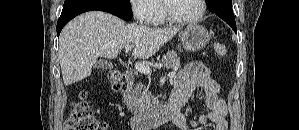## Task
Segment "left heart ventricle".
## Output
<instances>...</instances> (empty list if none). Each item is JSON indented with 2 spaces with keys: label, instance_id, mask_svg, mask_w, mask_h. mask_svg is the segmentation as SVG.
<instances>
[{
  "label": "left heart ventricle",
  "instance_id": "1",
  "mask_svg": "<svg viewBox=\"0 0 299 130\" xmlns=\"http://www.w3.org/2000/svg\"><path fill=\"white\" fill-rule=\"evenodd\" d=\"M169 7L171 13L178 18L195 17L200 10L198 0H172Z\"/></svg>",
  "mask_w": 299,
  "mask_h": 130
}]
</instances>
